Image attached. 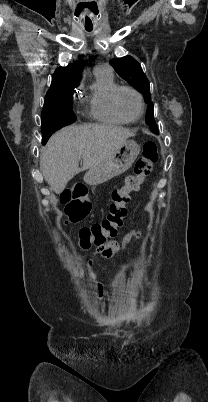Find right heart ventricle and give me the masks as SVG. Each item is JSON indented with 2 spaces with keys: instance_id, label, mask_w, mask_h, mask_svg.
Returning a JSON list of instances; mask_svg holds the SVG:
<instances>
[{
  "instance_id": "e07e8e85",
  "label": "right heart ventricle",
  "mask_w": 208,
  "mask_h": 402,
  "mask_svg": "<svg viewBox=\"0 0 208 402\" xmlns=\"http://www.w3.org/2000/svg\"><path fill=\"white\" fill-rule=\"evenodd\" d=\"M96 82L90 93L88 110L95 125L123 126L127 123L120 120L112 111L111 97L118 85L113 77L104 73L95 72Z\"/></svg>"
}]
</instances>
